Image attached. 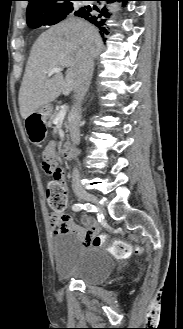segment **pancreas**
Instances as JSON below:
<instances>
[{
  "label": "pancreas",
  "mask_w": 183,
  "mask_h": 329,
  "mask_svg": "<svg viewBox=\"0 0 183 329\" xmlns=\"http://www.w3.org/2000/svg\"><path fill=\"white\" fill-rule=\"evenodd\" d=\"M57 115H58L57 112H55V113H53V114L50 115V117H49V119H48V122H47V125H48L49 127H52L53 120L56 118ZM65 126H66L67 129L69 128V126H68L67 123L65 124Z\"/></svg>",
  "instance_id": "cf45deb5"
}]
</instances>
